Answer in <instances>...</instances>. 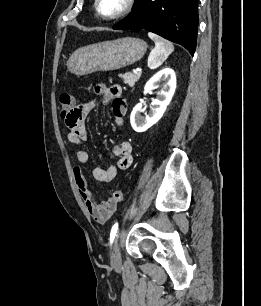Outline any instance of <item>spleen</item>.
Here are the masks:
<instances>
[{"label":"spleen","mask_w":261,"mask_h":306,"mask_svg":"<svg viewBox=\"0 0 261 306\" xmlns=\"http://www.w3.org/2000/svg\"><path fill=\"white\" fill-rule=\"evenodd\" d=\"M148 36L155 43L154 49L151 51L148 57V67L150 69H156L168 58L173 52L174 46L171 42L163 39L162 37L148 32Z\"/></svg>","instance_id":"1"}]
</instances>
